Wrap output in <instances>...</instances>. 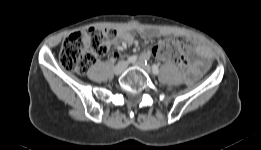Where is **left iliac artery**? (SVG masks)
Wrapping results in <instances>:
<instances>
[{"instance_id":"44dca946","label":"left iliac artery","mask_w":261,"mask_h":150,"mask_svg":"<svg viewBox=\"0 0 261 150\" xmlns=\"http://www.w3.org/2000/svg\"><path fill=\"white\" fill-rule=\"evenodd\" d=\"M145 65H146V61H145ZM152 71L156 75L159 73V68H158V66L156 64L152 65Z\"/></svg>"}]
</instances>
